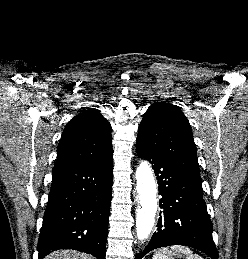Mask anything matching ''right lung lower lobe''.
<instances>
[{"label": "right lung lower lobe", "instance_id": "right-lung-lower-lobe-1", "mask_svg": "<svg viewBox=\"0 0 248 259\" xmlns=\"http://www.w3.org/2000/svg\"><path fill=\"white\" fill-rule=\"evenodd\" d=\"M112 180V153L96 162L53 170L38 259L57 249L105 259Z\"/></svg>", "mask_w": 248, "mask_h": 259}]
</instances>
